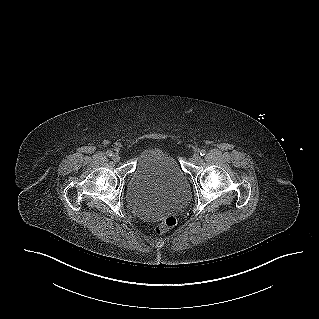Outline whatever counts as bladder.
I'll list each match as a JSON object with an SVG mask.
<instances>
[{"label":"bladder","mask_w":319,"mask_h":319,"mask_svg":"<svg viewBox=\"0 0 319 319\" xmlns=\"http://www.w3.org/2000/svg\"><path fill=\"white\" fill-rule=\"evenodd\" d=\"M189 198V178L171 154L149 148L138 157L126 189L127 203L137 214L156 217Z\"/></svg>","instance_id":"31cf9c89"}]
</instances>
